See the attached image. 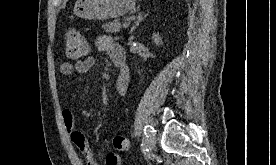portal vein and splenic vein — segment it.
I'll return each instance as SVG.
<instances>
[{
    "instance_id": "1",
    "label": "portal vein and splenic vein",
    "mask_w": 276,
    "mask_h": 165,
    "mask_svg": "<svg viewBox=\"0 0 276 165\" xmlns=\"http://www.w3.org/2000/svg\"><path fill=\"white\" fill-rule=\"evenodd\" d=\"M130 25V22H125L124 24H123V27H128Z\"/></svg>"
}]
</instances>
